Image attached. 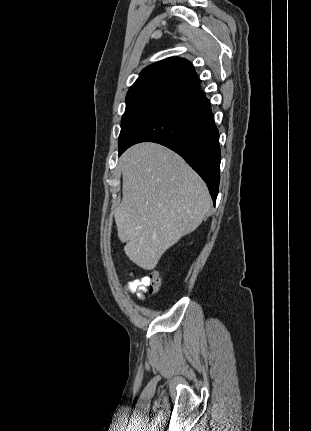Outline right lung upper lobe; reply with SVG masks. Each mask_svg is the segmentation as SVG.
Listing matches in <instances>:
<instances>
[{
    "label": "right lung upper lobe",
    "instance_id": "obj_1",
    "mask_svg": "<svg viewBox=\"0 0 311 431\" xmlns=\"http://www.w3.org/2000/svg\"><path fill=\"white\" fill-rule=\"evenodd\" d=\"M156 89L183 97L200 90L197 74L186 59L171 57L144 68L128 93Z\"/></svg>",
    "mask_w": 311,
    "mask_h": 431
}]
</instances>
